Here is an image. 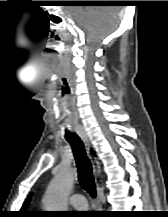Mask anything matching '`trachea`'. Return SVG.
<instances>
[{"label":"trachea","instance_id":"trachea-1","mask_svg":"<svg viewBox=\"0 0 168 217\" xmlns=\"http://www.w3.org/2000/svg\"><path fill=\"white\" fill-rule=\"evenodd\" d=\"M66 140L70 143L78 168V179L81 187L92 197L96 196V186L93 176L92 164L86 155L82 140L75 133L66 131Z\"/></svg>","mask_w":168,"mask_h":217}]
</instances>
